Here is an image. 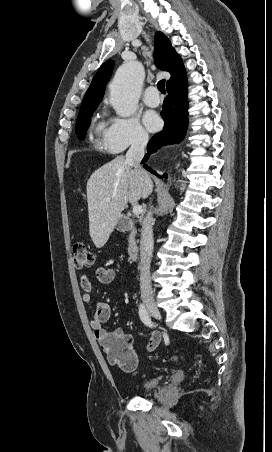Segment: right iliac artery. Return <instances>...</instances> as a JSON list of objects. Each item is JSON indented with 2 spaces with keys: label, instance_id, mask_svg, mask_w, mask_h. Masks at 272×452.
Masks as SVG:
<instances>
[{
  "label": "right iliac artery",
  "instance_id": "82829eb1",
  "mask_svg": "<svg viewBox=\"0 0 272 452\" xmlns=\"http://www.w3.org/2000/svg\"><path fill=\"white\" fill-rule=\"evenodd\" d=\"M139 315H140V318H141L142 322L146 326L151 327V328L154 327V324L151 321L149 313L147 312L146 308L142 304L139 306Z\"/></svg>",
  "mask_w": 272,
  "mask_h": 452
}]
</instances>
